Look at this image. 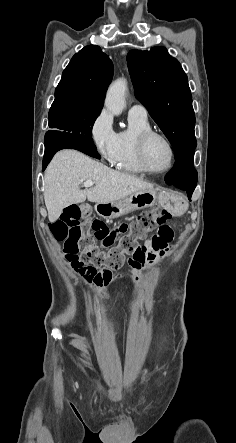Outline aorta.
I'll list each match as a JSON object with an SVG mask.
<instances>
[{
  "mask_svg": "<svg viewBox=\"0 0 236 443\" xmlns=\"http://www.w3.org/2000/svg\"><path fill=\"white\" fill-rule=\"evenodd\" d=\"M127 91V81L118 79L113 82L106 93V109L114 115H120L126 106L125 95Z\"/></svg>",
  "mask_w": 236,
  "mask_h": 443,
  "instance_id": "obj_1",
  "label": "aorta"
}]
</instances>
